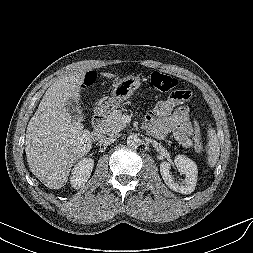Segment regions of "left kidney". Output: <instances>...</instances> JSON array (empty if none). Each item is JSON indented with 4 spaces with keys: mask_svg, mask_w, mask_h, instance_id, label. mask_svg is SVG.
Returning a JSON list of instances; mask_svg holds the SVG:
<instances>
[{
    "mask_svg": "<svg viewBox=\"0 0 253 253\" xmlns=\"http://www.w3.org/2000/svg\"><path fill=\"white\" fill-rule=\"evenodd\" d=\"M174 164L180 174L185 175V179L182 182L175 181V178L170 173L171 164L164 161L160 164V173L165 184L175 192L182 194L192 193L195 190L197 182V165L184 155H177L174 159Z\"/></svg>",
    "mask_w": 253,
    "mask_h": 253,
    "instance_id": "left-kidney-1",
    "label": "left kidney"
}]
</instances>
